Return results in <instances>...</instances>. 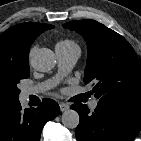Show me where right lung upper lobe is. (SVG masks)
Masks as SVG:
<instances>
[{
	"label": "right lung upper lobe",
	"mask_w": 141,
	"mask_h": 141,
	"mask_svg": "<svg viewBox=\"0 0 141 141\" xmlns=\"http://www.w3.org/2000/svg\"><path fill=\"white\" fill-rule=\"evenodd\" d=\"M54 28L50 24L26 22L15 25L0 35V64L25 66L28 64L30 45L44 31Z\"/></svg>",
	"instance_id": "right-lung-upper-lobe-1"
}]
</instances>
